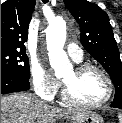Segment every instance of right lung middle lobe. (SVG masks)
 Listing matches in <instances>:
<instances>
[{"label": "right lung middle lobe", "instance_id": "right-lung-middle-lobe-1", "mask_svg": "<svg viewBox=\"0 0 122 123\" xmlns=\"http://www.w3.org/2000/svg\"><path fill=\"white\" fill-rule=\"evenodd\" d=\"M1 70L29 79L30 67L26 52L1 50Z\"/></svg>", "mask_w": 122, "mask_h": 123}]
</instances>
